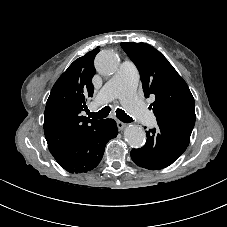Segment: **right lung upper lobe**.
<instances>
[{"label": "right lung upper lobe", "mask_w": 227, "mask_h": 227, "mask_svg": "<svg viewBox=\"0 0 227 227\" xmlns=\"http://www.w3.org/2000/svg\"><path fill=\"white\" fill-rule=\"evenodd\" d=\"M98 52L99 49H94L76 59L51 90L44 113V133L53 156L79 141L102 121L87 120L81 115L87 98L93 96L91 80L96 73L94 58Z\"/></svg>", "instance_id": "cb5924a9"}]
</instances>
